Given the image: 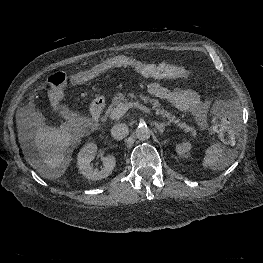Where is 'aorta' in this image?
<instances>
[{"instance_id":"obj_1","label":"aorta","mask_w":263,"mask_h":263,"mask_svg":"<svg viewBox=\"0 0 263 263\" xmlns=\"http://www.w3.org/2000/svg\"><path fill=\"white\" fill-rule=\"evenodd\" d=\"M135 134L139 140L145 141L150 138L151 130L145 125H139L136 129Z\"/></svg>"}]
</instances>
